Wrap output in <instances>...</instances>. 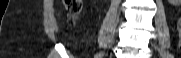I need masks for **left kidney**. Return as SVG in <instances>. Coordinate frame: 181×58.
Masks as SVG:
<instances>
[{"instance_id": "5707ae66", "label": "left kidney", "mask_w": 181, "mask_h": 58, "mask_svg": "<svg viewBox=\"0 0 181 58\" xmlns=\"http://www.w3.org/2000/svg\"><path fill=\"white\" fill-rule=\"evenodd\" d=\"M170 4L174 6H179L181 4V0H168Z\"/></svg>"}]
</instances>
